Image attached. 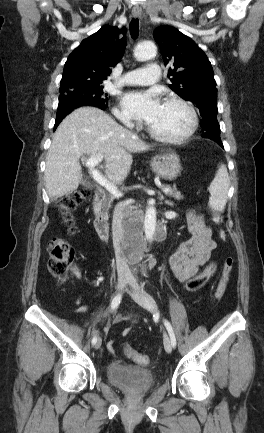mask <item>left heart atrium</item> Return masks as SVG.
<instances>
[{"label": "left heart atrium", "mask_w": 264, "mask_h": 433, "mask_svg": "<svg viewBox=\"0 0 264 433\" xmlns=\"http://www.w3.org/2000/svg\"><path fill=\"white\" fill-rule=\"evenodd\" d=\"M122 101L129 114L148 124L156 118L162 106L158 94L154 91L129 92Z\"/></svg>", "instance_id": "1"}]
</instances>
